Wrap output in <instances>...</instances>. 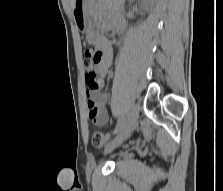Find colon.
Instances as JSON below:
<instances>
[{
	"mask_svg": "<svg viewBox=\"0 0 223 191\" xmlns=\"http://www.w3.org/2000/svg\"><path fill=\"white\" fill-rule=\"evenodd\" d=\"M99 62V54L95 52L94 49L88 48L86 50L85 59L83 61V66L85 69V79L86 83L90 87H96L98 85V74L97 66ZM109 140V136L106 133L96 131L92 134L91 143L93 147L101 149L105 147Z\"/></svg>",
	"mask_w": 223,
	"mask_h": 191,
	"instance_id": "obj_1",
	"label": "colon"
}]
</instances>
